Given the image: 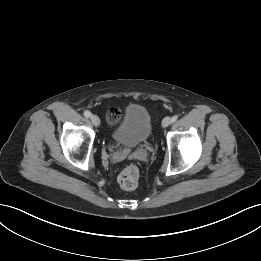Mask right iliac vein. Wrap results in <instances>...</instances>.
<instances>
[{
	"mask_svg": "<svg viewBox=\"0 0 261 261\" xmlns=\"http://www.w3.org/2000/svg\"><path fill=\"white\" fill-rule=\"evenodd\" d=\"M91 121H92L94 126L100 125V119L97 115H91Z\"/></svg>",
	"mask_w": 261,
	"mask_h": 261,
	"instance_id": "1",
	"label": "right iliac vein"
}]
</instances>
